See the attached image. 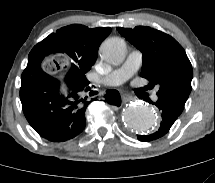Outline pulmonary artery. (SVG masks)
Returning a JSON list of instances; mask_svg holds the SVG:
<instances>
[{"label":"pulmonary artery","mask_w":215,"mask_h":183,"mask_svg":"<svg viewBox=\"0 0 215 183\" xmlns=\"http://www.w3.org/2000/svg\"><path fill=\"white\" fill-rule=\"evenodd\" d=\"M142 65V53L139 50H133L128 55L124 64L113 70L107 76L100 79V83L104 86L115 87L119 86L133 76ZM152 99H158L156 94L152 95Z\"/></svg>","instance_id":"e3ab8cb5"}]
</instances>
